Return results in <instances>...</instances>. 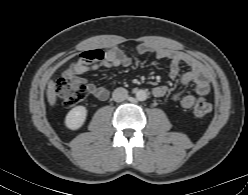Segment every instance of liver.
Returning a JSON list of instances; mask_svg holds the SVG:
<instances>
[{
	"instance_id": "liver-1",
	"label": "liver",
	"mask_w": 248,
	"mask_h": 195,
	"mask_svg": "<svg viewBox=\"0 0 248 195\" xmlns=\"http://www.w3.org/2000/svg\"><path fill=\"white\" fill-rule=\"evenodd\" d=\"M55 88H56L55 83L53 82V80H50L47 86L46 94H47V100L51 106H54L57 100L56 97L57 94L55 92Z\"/></svg>"
}]
</instances>
